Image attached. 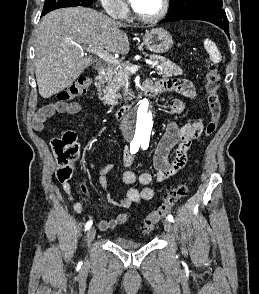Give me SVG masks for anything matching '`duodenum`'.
<instances>
[{
    "label": "duodenum",
    "instance_id": "obj_1",
    "mask_svg": "<svg viewBox=\"0 0 259 294\" xmlns=\"http://www.w3.org/2000/svg\"><path fill=\"white\" fill-rule=\"evenodd\" d=\"M113 70V66L109 64H104L98 72L97 80L105 78L111 71ZM152 91V82L150 80H145L141 85L138 91V97H142L143 95L150 93ZM127 112V108L124 107L117 112V117L120 118L125 115Z\"/></svg>",
    "mask_w": 259,
    "mask_h": 294
}]
</instances>
